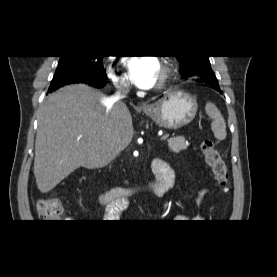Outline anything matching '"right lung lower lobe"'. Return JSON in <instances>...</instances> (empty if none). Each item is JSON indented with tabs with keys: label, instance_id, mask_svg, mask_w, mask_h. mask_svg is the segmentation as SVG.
Returning <instances> with one entry per match:
<instances>
[{
	"label": "right lung lower lobe",
	"instance_id": "1",
	"mask_svg": "<svg viewBox=\"0 0 277 277\" xmlns=\"http://www.w3.org/2000/svg\"><path fill=\"white\" fill-rule=\"evenodd\" d=\"M81 82L88 83V84L93 85V86H95L97 88L103 87V85H104V84H100V83L92 82V81H88V80H84V81H81Z\"/></svg>",
	"mask_w": 277,
	"mask_h": 277
}]
</instances>
